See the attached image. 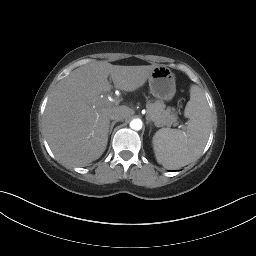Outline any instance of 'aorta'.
<instances>
[{
  "mask_svg": "<svg viewBox=\"0 0 256 256\" xmlns=\"http://www.w3.org/2000/svg\"><path fill=\"white\" fill-rule=\"evenodd\" d=\"M130 127L133 130H141L142 129V121L140 119H133L130 122Z\"/></svg>",
  "mask_w": 256,
  "mask_h": 256,
  "instance_id": "1",
  "label": "aorta"
}]
</instances>
